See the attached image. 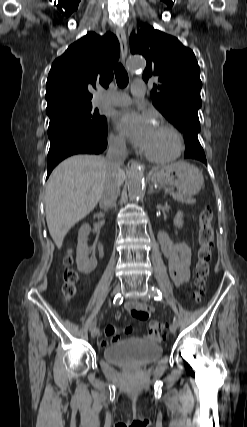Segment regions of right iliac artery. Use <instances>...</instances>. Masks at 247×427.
<instances>
[{
	"instance_id": "1",
	"label": "right iliac artery",
	"mask_w": 247,
	"mask_h": 427,
	"mask_svg": "<svg viewBox=\"0 0 247 427\" xmlns=\"http://www.w3.org/2000/svg\"><path fill=\"white\" fill-rule=\"evenodd\" d=\"M123 302V297L120 294H117L113 300L114 305H120ZM96 325V319L91 322L90 329Z\"/></svg>"
}]
</instances>
